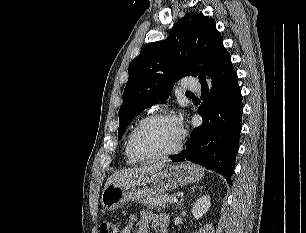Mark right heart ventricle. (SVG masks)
Masks as SVG:
<instances>
[{
  "label": "right heart ventricle",
  "mask_w": 306,
  "mask_h": 233,
  "mask_svg": "<svg viewBox=\"0 0 306 233\" xmlns=\"http://www.w3.org/2000/svg\"><path fill=\"white\" fill-rule=\"evenodd\" d=\"M144 118H145V117H140V118H138V119L133 123V125H132L131 128H130V131H129L127 140H126V144H125V155H126V157H127L128 163H130V164L136 163L138 160H136V159L131 155V153H130V149H129V138H130V135H131L132 131L135 129V127H136Z\"/></svg>",
  "instance_id": "right-heart-ventricle-1"
}]
</instances>
